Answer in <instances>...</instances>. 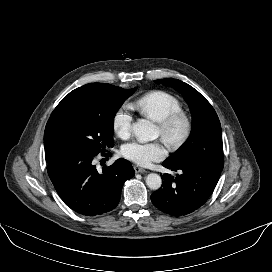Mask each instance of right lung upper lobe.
Here are the masks:
<instances>
[{
    "label": "right lung upper lobe",
    "instance_id": "cb5924a9",
    "mask_svg": "<svg viewBox=\"0 0 272 272\" xmlns=\"http://www.w3.org/2000/svg\"><path fill=\"white\" fill-rule=\"evenodd\" d=\"M116 86L105 83H90L81 86L66 95L51 114L55 116L64 112H72L92 108L98 105V95L101 90H117Z\"/></svg>",
    "mask_w": 272,
    "mask_h": 272
}]
</instances>
